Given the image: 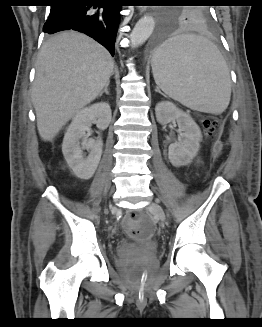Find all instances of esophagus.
I'll return each mask as SVG.
<instances>
[{
	"label": "esophagus",
	"instance_id": "1",
	"mask_svg": "<svg viewBox=\"0 0 262 327\" xmlns=\"http://www.w3.org/2000/svg\"><path fill=\"white\" fill-rule=\"evenodd\" d=\"M145 11H146V8H143V7L142 8H139V12L140 13H144Z\"/></svg>",
	"mask_w": 262,
	"mask_h": 327
}]
</instances>
